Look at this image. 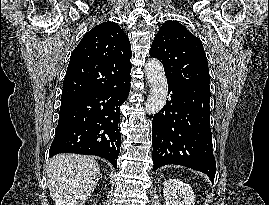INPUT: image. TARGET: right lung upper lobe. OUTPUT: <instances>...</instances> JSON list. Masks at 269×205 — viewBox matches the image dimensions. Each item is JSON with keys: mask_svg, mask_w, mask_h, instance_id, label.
Wrapping results in <instances>:
<instances>
[{"mask_svg": "<svg viewBox=\"0 0 269 205\" xmlns=\"http://www.w3.org/2000/svg\"><path fill=\"white\" fill-rule=\"evenodd\" d=\"M128 36L114 22H104L83 36L71 54L62 100L115 88L130 72Z\"/></svg>", "mask_w": 269, "mask_h": 205, "instance_id": "obj_1", "label": "right lung upper lobe"}]
</instances>
